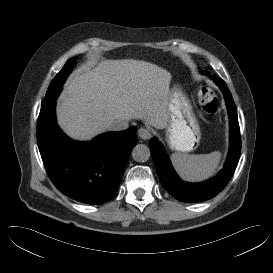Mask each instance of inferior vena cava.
<instances>
[{
	"label": "inferior vena cava",
	"mask_w": 273,
	"mask_h": 273,
	"mask_svg": "<svg viewBox=\"0 0 273 273\" xmlns=\"http://www.w3.org/2000/svg\"><path fill=\"white\" fill-rule=\"evenodd\" d=\"M128 127V121L127 120H116L113 123L110 124L109 130L111 131H119L124 130Z\"/></svg>",
	"instance_id": "obj_1"
}]
</instances>
